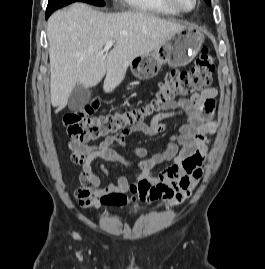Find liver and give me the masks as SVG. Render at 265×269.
Instances as JSON below:
<instances>
[{
  "label": "liver",
  "instance_id": "6515ba94",
  "mask_svg": "<svg viewBox=\"0 0 265 269\" xmlns=\"http://www.w3.org/2000/svg\"><path fill=\"white\" fill-rule=\"evenodd\" d=\"M186 26L152 14L128 11L103 13L84 3L56 11L47 23L50 57V97L64 109L73 88L96 86L106 75L103 89L114 90L131 61L157 49L171 34ZM114 41L105 56L103 47Z\"/></svg>",
  "mask_w": 265,
  "mask_h": 269
}]
</instances>
